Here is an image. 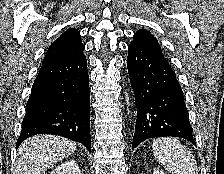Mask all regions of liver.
I'll return each instance as SVG.
<instances>
[{"label": "liver", "instance_id": "liver-1", "mask_svg": "<svg viewBox=\"0 0 224 174\" xmlns=\"http://www.w3.org/2000/svg\"><path fill=\"white\" fill-rule=\"evenodd\" d=\"M76 150V143L55 135H35L18 148L15 174H43Z\"/></svg>", "mask_w": 224, "mask_h": 174}]
</instances>
